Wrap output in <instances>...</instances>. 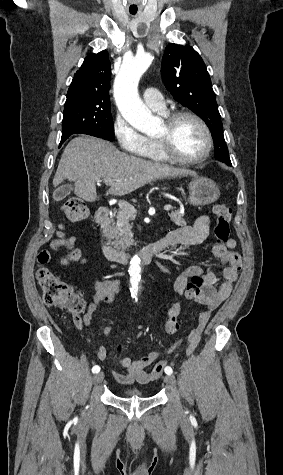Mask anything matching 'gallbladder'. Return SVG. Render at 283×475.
<instances>
[{"label":"gallbladder","instance_id":"1","mask_svg":"<svg viewBox=\"0 0 283 475\" xmlns=\"http://www.w3.org/2000/svg\"><path fill=\"white\" fill-rule=\"evenodd\" d=\"M72 190L73 186H71V184H65V186H60V188H58V190L54 192V200H56V202H59V200H64V198H66V196H68V194H70Z\"/></svg>","mask_w":283,"mask_h":475}]
</instances>
